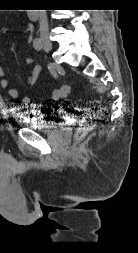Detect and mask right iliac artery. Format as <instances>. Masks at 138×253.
<instances>
[{
	"mask_svg": "<svg viewBox=\"0 0 138 253\" xmlns=\"http://www.w3.org/2000/svg\"><path fill=\"white\" fill-rule=\"evenodd\" d=\"M33 46H34V48H35L37 51H41L42 48H43V44H42L41 39L35 38L34 41H33ZM53 75L56 77V74H55V73H53Z\"/></svg>",
	"mask_w": 138,
	"mask_h": 253,
	"instance_id": "82829eb1",
	"label": "right iliac artery"
}]
</instances>
